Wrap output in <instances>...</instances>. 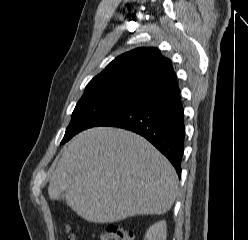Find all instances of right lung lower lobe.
<instances>
[{
  "label": "right lung lower lobe",
  "mask_w": 248,
  "mask_h": 240,
  "mask_svg": "<svg viewBox=\"0 0 248 240\" xmlns=\"http://www.w3.org/2000/svg\"><path fill=\"white\" fill-rule=\"evenodd\" d=\"M94 126L119 127L140 134L169 159L181 176L185 126L178 87L139 99Z\"/></svg>",
  "instance_id": "right-lung-lower-lobe-1"
}]
</instances>
